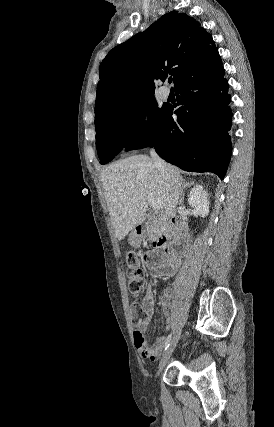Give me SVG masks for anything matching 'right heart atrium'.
Returning a JSON list of instances; mask_svg holds the SVG:
<instances>
[{
	"label": "right heart atrium",
	"mask_w": 274,
	"mask_h": 427,
	"mask_svg": "<svg viewBox=\"0 0 274 427\" xmlns=\"http://www.w3.org/2000/svg\"><path fill=\"white\" fill-rule=\"evenodd\" d=\"M126 139L134 146H139L149 139V115L145 109L130 111L124 121Z\"/></svg>",
	"instance_id": "d8ad5b80"
}]
</instances>
